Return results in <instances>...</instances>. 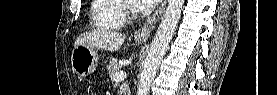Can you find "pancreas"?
<instances>
[{"mask_svg":"<svg viewBox=\"0 0 277 95\" xmlns=\"http://www.w3.org/2000/svg\"><path fill=\"white\" fill-rule=\"evenodd\" d=\"M120 69V65H119V61L117 59H112L110 60V62L107 64V71L108 74L111 78L112 81H114L113 79V75L118 72ZM119 88L120 90L119 95H127L129 93V86L127 82H124L122 84H119Z\"/></svg>","mask_w":277,"mask_h":95,"instance_id":"1","label":"pancreas"}]
</instances>
